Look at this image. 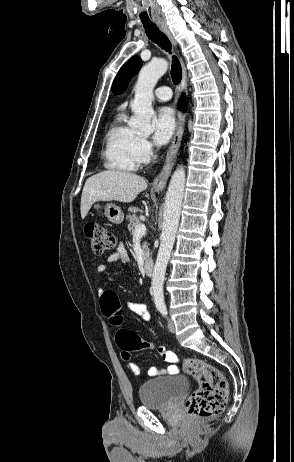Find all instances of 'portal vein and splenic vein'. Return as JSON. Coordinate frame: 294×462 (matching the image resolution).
Returning a JSON list of instances; mask_svg holds the SVG:
<instances>
[{"label":"portal vein and splenic vein","instance_id":"1","mask_svg":"<svg viewBox=\"0 0 294 462\" xmlns=\"http://www.w3.org/2000/svg\"><path fill=\"white\" fill-rule=\"evenodd\" d=\"M146 233V226L144 224H138L135 228L134 236H142Z\"/></svg>","mask_w":294,"mask_h":462}]
</instances>
